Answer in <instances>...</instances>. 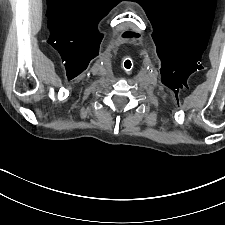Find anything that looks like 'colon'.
I'll return each mask as SVG.
<instances>
[{"label": "colon", "mask_w": 225, "mask_h": 225, "mask_svg": "<svg viewBox=\"0 0 225 225\" xmlns=\"http://www.w3.org/2000/svg\"><path fill=\"white\" fill-rule=\"evenodd\" d=\"M125 64H128V66H129V68L131 67V61H130V59H126L125 61H124V65ZM127 68V67H126Z\"/></svg>", "instance_id": "1"}]
</instances>
